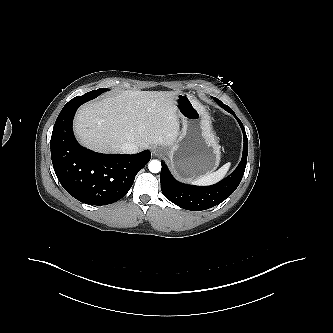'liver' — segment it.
I'll return each instance as SVG.
<instances>
[{"instance_id":"liver-1","label":"liver","mask_w":333,"mask_h":333,"mask_svg":"<svg viewBox=\"0 0 333 333\" xmlns=\"http://www.w3.org/2000/svg\"><path fill=\"white\" fill-rule=\"evenodd\" d=\"M179 91L127 90L82 106L74 131L80 143L98 152H120L126 142L140 150L170 146L179 133L175 105Z\"/></svg>"}]
</instances>
